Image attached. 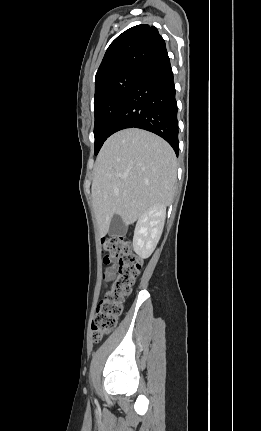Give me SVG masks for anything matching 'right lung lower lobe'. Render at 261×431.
Returning <instances> with one entry per match:
<instances>
[{
	"instance_id": "98d812e1",
	"label": "right lung lower lobe",
	"mask_w": 261,
	"mask_h": 431,
	"mask_svg": "<svg viewBox=\"0 0 261 431\" xmlns=\"http://www.w3.org/2000/svg\"><path fill=\"white\" fill-rule=\"evenodd\" d=\"M133 127L159 135L178 156L177 103L167 52L140 70L111 125L110 134Z\"/></svg>"
}]
</instances>
